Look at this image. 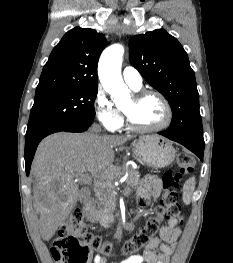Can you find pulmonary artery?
Listing matches in <instances>:
<instances>
[{"label":"pulmonary artery","mask_w":233,"mask_h":263,"mask_svg":"<svg viewBox=\"0 0 233 263\" xmlns=\"http://www.w3.org/2000/svg\"><path fill=\"white\" fill-rule=\"evenodd\" d=\"M124 81L134 90H138L142 86V76L140 72L132 67L126 66L122 72Z\"/></svg>","instance_id":"pulmonary-artery-1"}]
</instances>
